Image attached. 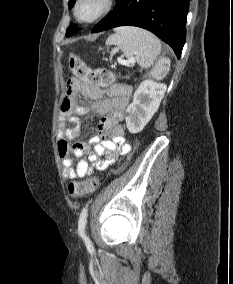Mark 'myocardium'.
<instances>
[{
	"instance_id": "f54148a6",
	"label": "myocardium",
	"mask_w": 233,
	"mask_h": 284,
	"mask_svg": "<svg viewBox=\"0 0 233 284\" xmlns=\"http://www.w3.org/2000/svg\"><path fill=\"white\" fill-rule=\"evenodd\" d=\"M83 2L84 0L75 1L74 7H73V14L77 21L84 23V24H91V23L98 21L99 19L104 17L106 14H108L114 6V0H100L101 7L97 11V13L93 15L92 17L84 18L79 14V7Z\"/></svg>"
}]
</instances>
